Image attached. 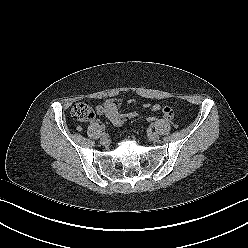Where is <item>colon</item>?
<instances>
[{
  "label": "colon",
  "mask_w": 248,
  "mask_h": 248,
  "mask_svg": "<svg viewBox=\"0 0 248 248\" xmlns=\"http://www.w3.org/2000/svg\"><path fill=\"white\" fill-rule=\"evenodd\" d=\"M71 115L72 117L80 122V123H86L91 121L94 118V112L92 108L87 105L86 103H76L72 109H71ZM158 120L157 116L151 115L147 117V121L150 123H153Z\"/></svg>",
  "instance_id": "5ec220e1"
}]
</instances>
